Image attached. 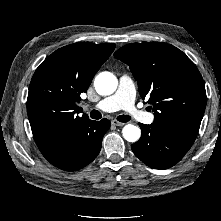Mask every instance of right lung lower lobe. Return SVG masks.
Listing matches in <instances>:
<instances>
[{
    "label": "right lung lower lobe",
    "mask_w": 221,
    "mask_h": 221,
    "mask_svg": "<svg viewBox=\"0 0 221 221\" xmlns=\"http://www.w3.org/2000/svg\"><path fill=\"white\" fill-rule=\"evenodd\" d=\"M110 127V121H91L79 133L53 148L41 152L55 167L65 171H77L91 163L99 154L102 138Z\"/></svg>",
    "instance_id": "98d812e1"
}]
</instances>
